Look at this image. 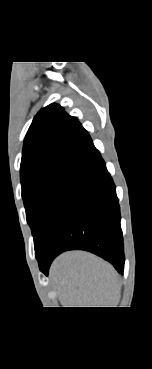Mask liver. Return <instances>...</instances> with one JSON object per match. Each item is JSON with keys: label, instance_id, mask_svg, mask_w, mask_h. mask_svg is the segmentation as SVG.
<instances>
[{"label": "liver", "instance_id": "6515ba94", "mask_svg": "<svg viewBox=\"0 0 152 369\" xmlns=\"http://www.w3.org/2000/svg\"><path fill=\"white\" fill-rule=\"evenodd\" d=\"M64 307H117L121 282L112 265L83 251L60 255L50 268Z\"/></svg>", "mask_w": 152, "mask_h": 369}]
</instances>
